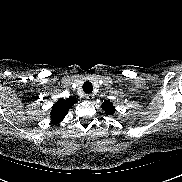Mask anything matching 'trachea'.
I'll use <instances>...</instances> for the list:
<instances>
[{"instance_id":"3493384b","label":"trachea","mask_w":182,"mask_h":182,"mask_svg":"<svg viewBox=\"0 0 182 182\" xmlns=\"http://www.w3.org/2000/svg\"><path fill=\"white\" fill-rule=\"evenodd\" d=\"M83 91L85 92V93H92V91H93V86H92V83L91 82H89V81H86V82H84V84H83Z\"/></svg>"}]
</instances>
